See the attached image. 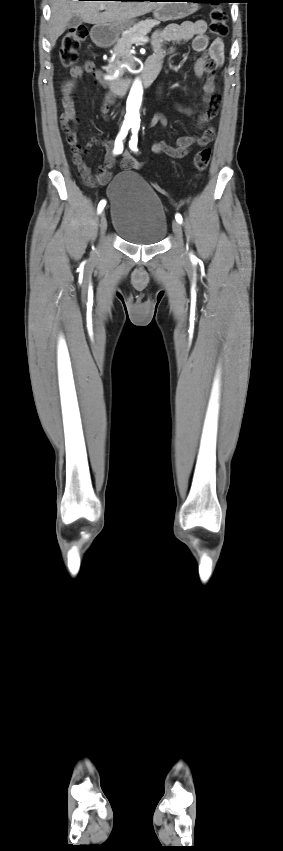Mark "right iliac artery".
I'll use <instances>...</instances> for the list:
<instances>
[{"label": "right iliac artery", "instance_id": "obj_1", "mask_svg": "<svg viewBox=\"0 0 283 851\" xmlns=\"http://www.w3.org/2000/svg\"><path fill=\"white\" fill-rule=\"evenodd\" d=\"M130 124H123L121 127V131L118 134L115 140L114 154H120L123 151V139L126 137L128 130L130 129ZM106 205L105 200H101L98 204V213H100Z\"/></svg>", "mask_w": 283, "mask_h": 851}]
</instances>
